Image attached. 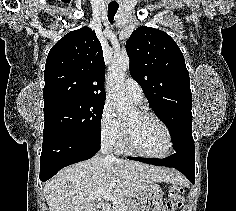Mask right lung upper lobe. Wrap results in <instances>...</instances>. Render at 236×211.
<instances>
[{"mask_svg": "<svg viewBox=\"0 0 236 211\" xmlns=\"http://www.w3.org/2000/svg\"><path fill=\"white\" fill-rule=\"evenodd\" d=\"M102 47L88 27L71 31L48 53L44 71V105L62 99L104 101Z\"/></svg>", "mask_w": 236, "mask_h": 211, "instance_id": "cb5924a9", "label": "right lung upper lobe"}]
</instances>
